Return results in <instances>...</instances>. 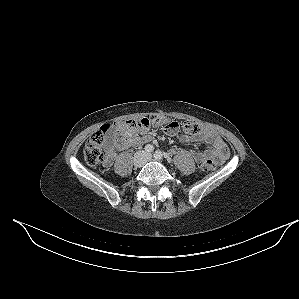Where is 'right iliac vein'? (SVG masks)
Wrapping results in <instances>:
<instances>
[{"mask_svg":"<svg viewBox=\"0 0 299 299\" xmlns=\"http://www.w3.org/2000/svg\"><path fill=\"white\" fill-rule=\"evenodd\" d=\"M144 164V156L142 153L138 154L135 158H134V165L135 167H141Z\"/></svg>","mask_w":299,"mask_h":299,"instance_id":"63e3f726","label":"right iliac vein"}]
</instances>
